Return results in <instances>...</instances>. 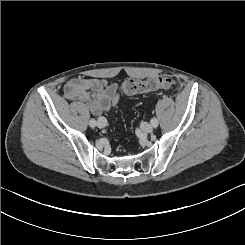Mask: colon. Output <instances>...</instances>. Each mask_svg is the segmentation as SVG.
<instances>
[{
    "label": "colon",
    "instance_id": "colon-1",
    "mask_svg": "<svg viewBox=\"0 0 245 245\" xmlns=\"http://www.w3.org/2000/svg\"><path fill=\"white\" fill-rule=\"evenodd\" d=\"M173 85L174 80L168 75H158L145 80L126 78L122 81L120 90L126 95H135L170 89Z\"/></svg>",
    "mask_w": 245,
    "mask_h": 245
}]
</instances>
